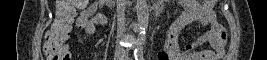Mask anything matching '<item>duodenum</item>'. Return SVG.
<instances>
[{
  "instance_id": "obj_1",
  "label": "duodenum",
  "mask_w": 267,
  "mask_h": 60,
  "mask_svg": "<svg viewBox=\"0 0 267 60\" xmlns=\"http://www.w3.org/2000/svg\"><path fill=\"white\" fill-rule=\"evenodd\" d=\"M103 1L105 3H108L109 5L113 4L112 3L113 1H110V0H103ZM162 12H163V8L162 7H157V8L154 9L153 14H154L155 18H159L161 16Z\"/></svg>"
}]
</instances>
